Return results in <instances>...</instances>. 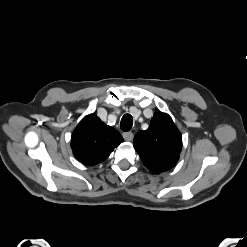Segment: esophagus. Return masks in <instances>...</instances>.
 Returning a JSON list of instances; mask_svg holds the SVG:
<instances>
[{
  "instance_id": "esophagus-1",
  "label": "esophagus",
  "mask_w": 247,
  "mask_h": 247,
  "mask_svg": "<svg viewBox=\"0 0 247 247\" xmlns=\"http://www.w3.org/2000/svg\"><path fill=\"white\" fill-rule=\"evenodd\" d=\"M123 138L126 140V141H132L133 138H134V135L132 132H125L123 133Z\"/></svg>"
}]
</instances>
